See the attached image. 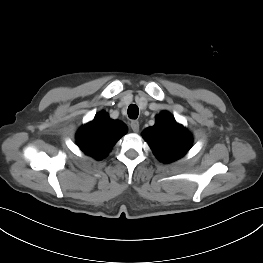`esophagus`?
I'll use <instances>...</instances> for the list:
<instances>
[{
	"label": "esophagus",
	"mask_w": 263,
	"mask_h": 263,
	"mask_svg": "<svg viewBox=\"0 0 263 263\" xmlns=\"http://www.w3.org/2000/svg\"><path fill=\"white\" fill-rule=\"evenodd\" d=\"M130 126H131V129L134 132H138L139 131V122L137 120L131 121Z\"/></svg>",
	"instance_id": "34e87169"
}]
</instances>
